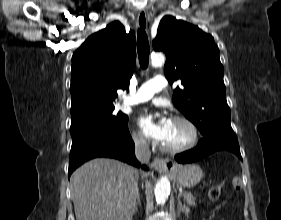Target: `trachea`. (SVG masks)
<instances>
[{"instance_id":"3493384b","label":"trachea","mask_w":281,"mask_h":220,"mask_svg":"<svg viewBox=\"0 0 281 220\" xmlns=\"http://www.w3.org/2000/svg\"><path fill=\"white\" fill-rule=\"evenodd\" d=\"M138 58L140 66L146 69L149 62V42L143 29L138 30Z\"/></svg>"}]
</instances>
